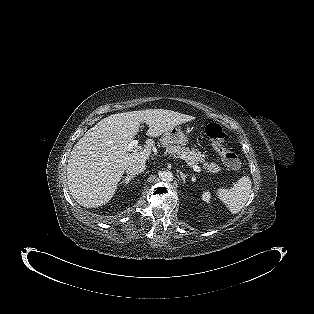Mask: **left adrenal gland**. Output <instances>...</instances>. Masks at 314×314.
I'll return each mask as SVG.
<instances>
[{"mask_svg":"<svg viewBox=\"0 0 314 314\" xmlns=\"http://www.w3.org/2000/svg\"><path fill=\"white\" fill-rule=\"evenodd\" d=\"M180 175H181V178H182V180H183V183L185 184V183H186V177H187L188 175H185V174L182 173V172H180Z\"/></svg>","mask_w":314,"mask_h":314,"instance_id":"left-adrenal-gland-1","label":"left adrenal gland"}]
</instances>
